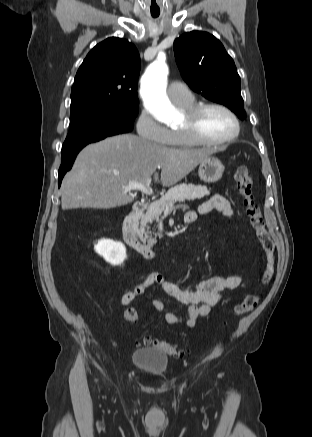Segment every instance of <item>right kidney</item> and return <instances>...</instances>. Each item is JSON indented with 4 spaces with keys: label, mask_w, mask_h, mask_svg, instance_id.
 I'll return each instance as SVG.
<instances>
[{
    "label": "right kidney",
    "mask_w": 312,
    "mask_h": 437,
    "mask_svg": "<svg viewBox=\"0 0 312 437\" xmlns=\"http://www.w3.org/2000/svg\"><path fill=\"white\" fill-rule=\"evenodd\" d=\"M95 251L112 265L122 264L127 257L125 246L110 239L100 240L95 245Z\"/></svg>",
    "instance_id": "1"
}]
</instances>
